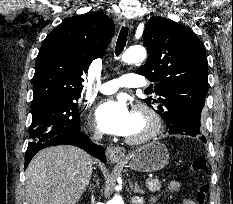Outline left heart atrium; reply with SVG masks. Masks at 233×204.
Instances as JSON below:
<instances>
[{
    "instance_id": "1",
    "label": "left heart atrium",
    "mask_w": 233,
    "mask_h": 204,
    "mask_svg": "<svg viewBox=\"0 0 233 204\" xmlns=\"http://www.w3.org/2000/svg\"><path fill=\"white\" fill-rule=\"evenodd\" d=\"M133 113L122 99L106 100L95 111L99 128L108 134L125 136L130 130Z\"/></svg>"
}]
</instances>
